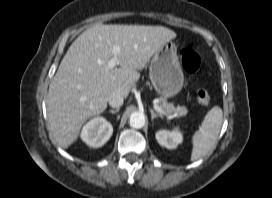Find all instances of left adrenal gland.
<instances>
[{
	"label": "left adrenal gland",
	"mask_w": 272,
	"mask_h": 198,
	"mask_svg": "<svg viewBox=\"0 0 272 198\" xmlns=\"http://www.w3.org/2000/svg\"><path fill=\"white\" fill-rule=\"evenodd\" d=\"M150 112H151V120H152V121H154V119H156V118H158V117L162 118V115L156 113L153 109H150Z\"/></svg>",
	"instance_id": "obj_1"
}]
</instances>
